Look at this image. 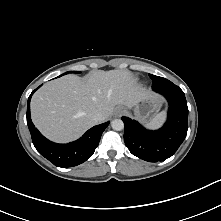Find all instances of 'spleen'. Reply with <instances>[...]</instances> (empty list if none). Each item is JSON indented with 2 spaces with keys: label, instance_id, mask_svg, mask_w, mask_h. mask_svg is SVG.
<instances>
[{
  "label": "spleen",
  "instance_id": "spleen-1",
  "mask_svg": "<svg viewBox=\"0 0 221 221\" xmlns=\"http://www.w3.org/2000/svg\"><path fill=\"white\" fill-rule=\"evenodd\" d=\"M164 117H165V113L164 111L160 112L159 114H157L148 124L147 126L148 127H151V128H156V127H159L163 120H164Z\"/></svg>",
  "mask_w": 221,
  "mask_h": 221
}]
</instances>
